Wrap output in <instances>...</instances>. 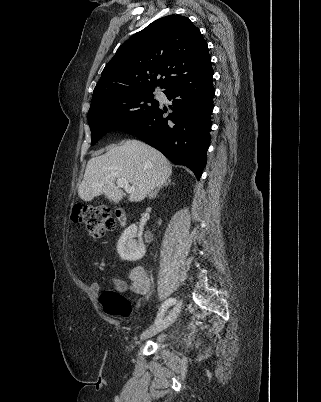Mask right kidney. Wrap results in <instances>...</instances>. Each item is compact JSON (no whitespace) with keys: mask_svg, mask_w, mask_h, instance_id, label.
Returning a JSON list of instances; mask_svg holds the SVG:
<instances>
[{"mask_svg":"<svg viewBox=\"0 0 321 402\" xmlns=\"http://www.w3.org/2000/svg\"><path fill=\"white\" fill-rule=\"evenodd\" d=\"M161 220L159 221V225ZM138 237V240L135 238ZM117 252L122 260L136 261L141 259L146 250L141 233L135 224L130 225L121 235L117 243Z\"/></svg>","mask_w":321,"mask_h":402,"instance_id":"ca27d5eb","label":"right kidney"}]
</instances>
